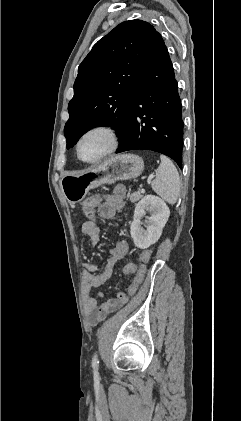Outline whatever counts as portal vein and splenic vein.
I'll list each match as a JSON object with an SVG mask.
<instances>
[{
  "instance_id": "18ae733b",
  "label": "portal vein and splenic vein",
  "mask_w": 241,
  "mask_h": 421,
  "mask_svg": "<svg viewBox=\"0 0 241 421\" xmlns=\"http://www.w3.org/2000/svg\"><path fill=\"white\" fill-rule=\"evenodd\" d=\"M155 176L153 174L149 175L148 182H150ZM141 193H145V189H141Z\"/></svg>"
}]
</instances>
